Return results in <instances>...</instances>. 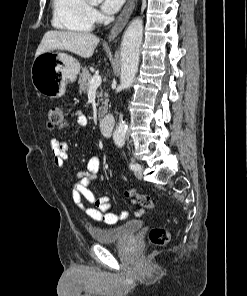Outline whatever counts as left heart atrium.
Here are the masks:
<instances>
[{"label":"left heart atrium","mask_w":247,"mask_h":296,"mask_svg":"<svg viewBox=\"0 0 247 296\" xmlns=\"http://www.w3.org/2000/svg\"><path fill=\"white\" fill-rule=\"evenodd\" d=\"M125 0H103L102 10L107 14H113L117 12L123 5Z\"/></svg>","instance_id":"1"}]
</instances>
